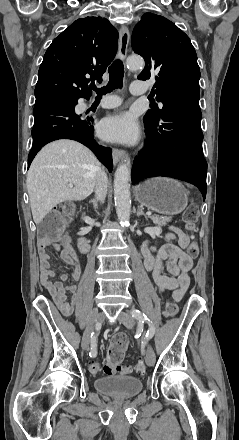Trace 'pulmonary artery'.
<instances>
[{
	"label": "pulmonary artery",
	"instance_id": "obj_1",
	"mask_svg": "<svg viewBox=\"0 0 239 440\" xmlns=\"http://www.w3.org/2000/svg\"><path fill=\"white\" fill-rule=\"evenodd\" d=\"M129 89H130V92L132 94L139 95V94L144 93L147 90V86H145L142 82L136 81V82H133L130 85ZM119 104H120V100L117 99V100H115L113 102L102 103L100 105V107H102V108H114V107L118 106Z\"/></svg>",
	"mask_w": 239,
	"mask_h": 440
}]
</instances>
